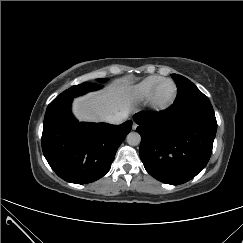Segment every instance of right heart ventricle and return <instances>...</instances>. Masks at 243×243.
I'll list each match as a JSON object with an SVG mask.
<instances>
[{"label": "right heart ventricle", "mask_w": 243, "mask_h": 243, "mask_svg": "<svg viewBox=\"0 0 243 243\" xmlns=\"http://www.w3.org/2000/svg\"><path fill=\"white\" fill-rule=\"evenodd\" d=\"M164 79L159 75L145 77L129 88L128 95L130 99L137 103L148 100L155 86Z\"/></svg>", "instance_id": "1"}]
</instances>
